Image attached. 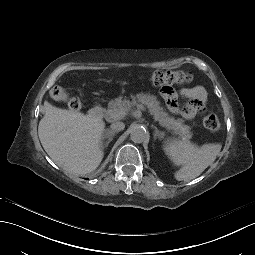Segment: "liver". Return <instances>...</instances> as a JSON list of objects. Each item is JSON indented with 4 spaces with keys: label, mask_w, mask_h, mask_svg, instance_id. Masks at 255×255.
I'll list each match as a JSON object with an SVG mask.
<instances>
[{
    "label": "liver",
    "mask_w": 255,
    "mask_h": 255,
    "mask_svg": "<svg viewBox=\"0 0 255 255\" xmlns=\"http://www.w3.org/2000/svg\"><path fill=\"white\" fill-rule=\"evenodd\" d=\"M45 116L38 135L48 156L73 174L86 175L101 164L105 122L79 112L59 109L44 102Z\"/></svg>",
    "instance_id": "liver-1"
}]
</instances>
